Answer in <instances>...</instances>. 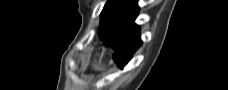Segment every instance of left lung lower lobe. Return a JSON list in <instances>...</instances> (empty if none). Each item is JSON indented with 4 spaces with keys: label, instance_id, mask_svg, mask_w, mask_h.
<instances>
[{
    "label": "left lung lower lobe",
    "instance_id": "obj_1",
    "mask_svg": "<svg viewBox=\"0 0 228 90\" xmlns=\"http://www.w3.org/2000/svg\"><path fill=\"white\" fill-rule=\"evenodd\" d=\"M136 2L134 0L135 6H137ZM138 10L139 8L136 11L121 12L117 17V23L99 35L108 45L113 47V60L121 69L142 45L139 26L134 24Z\"/></svg>",
    "mask_w": 228,
    "mask_h": 90
}]
</instances>
